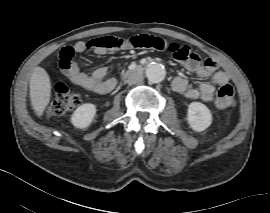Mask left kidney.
Segmentation results:
<instances>
[{
    "label": "left kidney",
    "instance_id": "5707ae66",
    "mask_svg": "<svg viewBox=\"0 0 270 213\" xmlns=\"http://www.w3.org/2000/svg\"><path fill=\"white\" fill-rule=\"evenodd\" d=\"M187 121L194 131L202 132L212 123L211 111L203 103L192 102L188 106Z\"/></svg>",
    "mask_w": 270,
    "mask_h": 213
}]
</instances>
